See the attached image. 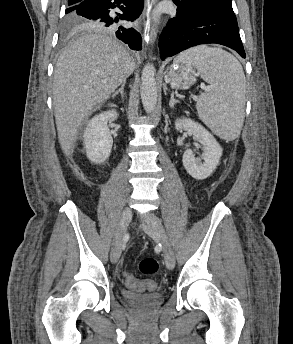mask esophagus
<instances>
[{
	"instance_id": "obj_1",
	"label": "esophagus",
	"mask_w": 293,
	"mask_h": 344,
	"mask_svg": "<svg viewBox=\"0 0 293 344\" xmlns=\"http://www.w3.org/2000/svg\"><path fill=\"white\" fill-rule=\"evenodd\" d=\"M156 3L157 0H145V9L142 17L145 23L144 39L146 42L149 40L151 48H153L158 33V28L153 17Z\"/></svg>"
}]
</instances>
